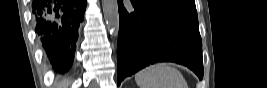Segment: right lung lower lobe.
Masks as SVG:
<instances>
[{
	"mask_svg": "<svg viewBox=\"0 0 267 88\" xmlns=\"http://www.w3.org/2000/svg\"><path fill=\"white\" fill-rule=\"evenodd\" d=\"M86 0H34L36 34L53 67L65 72L73 62Z\"/></svg>",
	"mask_w": 267,
	"mask_h": 88,
	"instance_id": "98d812e1",
	"label": "right lung lower lobe"
}]
</instances>
